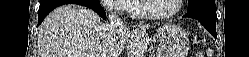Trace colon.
Listing matches in <instances>:
<instances>
[{
	"instance_id": "obj_1",
	"label": "colon",
	"mask_w": 249,
	"mask_h": 57,
	"mask_svg": "<svg viewBox=\"0 0 249 57\" xmlns=\"http://www.w3.org/2000/svg\"><path fill=\"white\" fill-rule=\"evenodd\" d=\"M195 57H203L202 54H197Z\"/></svg>"
}]
</instances>
